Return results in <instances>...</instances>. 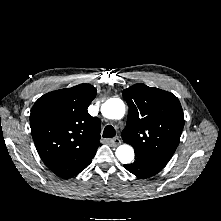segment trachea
<instances>
[{
	"label": "trachea",
	"mask_w": 221,
	"mask_h": 221,
	"mask_svg": "<svg viewBox=\"0 0 221 221\" xmlns=\"http://www.w3.org/2000/svg\"><path fill=\"white\" fill-rule=\"evenodd\" d=\"M115 134H116V132H115V129L113 126L108 125L104 128V131H103L104 138H112L115 136Z\"/></svg>",
	"instance_id": "1"
}]
</instances>
